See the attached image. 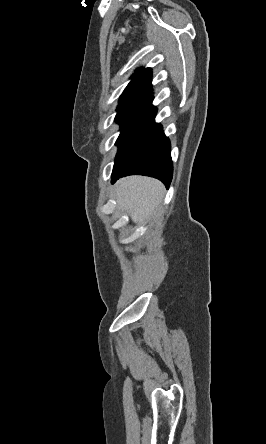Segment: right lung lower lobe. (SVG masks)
<instances>
[{"mask_svg": "<svg viewBox=\"0 0 266 444\" xmlns=\"http://www.w3.org/2000/svg\"><path fill=\"white\" fill-rule=\"evenodd\" d=\"M171 146L160 124H149L133 141L116 155L112 180L140 174L161 180L169 187L173 175Z\"/></svg>", "mask_w": 266, "mask_h": 444, "instance_id": "1", "label": "right lung lower lobe"}]
</instances>
